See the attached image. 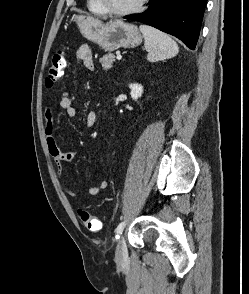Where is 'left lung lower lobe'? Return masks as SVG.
<instances>
[{
	"mask_svg": "<svg viewBox=\"0 0 249 294\" xmlns=\"http://www.w3.org/2000/svg\"><path fill=\"white\" fill-rule=\"evenodd\" d=\"M207 0H150L148 10L125 16L171 34L194 50Z\"/></svg>",
	"mask_w": 249,
	"mask_h": 294,
	"instance_id": "1",
	"label": "left lung lower lobe"
}]
</instances>
